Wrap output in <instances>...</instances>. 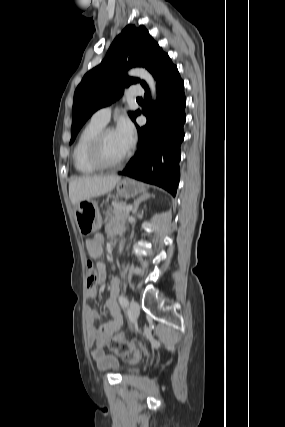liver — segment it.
Listing matches in <instances>:
<instances>
[{
    "label": "liver",
    "mask_w": 285,
    "mask_h": 427,
    "mask_svg": "<svg viewBox=\"0 0 285 427\" xmlns=\"http://www.w3.org/2000/svg\"><path fill=\"white\" fill-rule=\"evenodd\" d=\"M119 180L120 177L117 175L74 178L69 182L71 203L77 206L82 201L104 195L113 190Z\"/></svg>",
    "instance_id": "obj_1"
}]
</instances>
